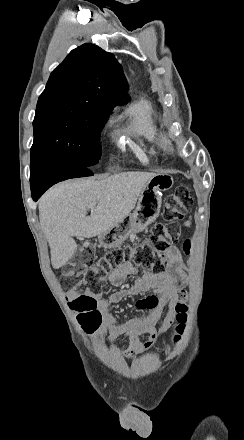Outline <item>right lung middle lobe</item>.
I'll list each match as a JSON object with an SVG mask.
<instances>
[{
  "label": "right lung middle lobe",
  "mask_w": 244,
  "mask_h": 440,
  "mask_svg": "<svg viewBox=\"0 0 244 440\" xmlns=\"http://www.w3.org/2000/svg\"><path fill=\"white\" fill-rule=\"evenodd\" d=\"M110 113L80 102H38L31 163L47 159L96 165L101 158L100 133Z\"/></svg>",
  "instance_id": "obj_1"
}]
</instances>
